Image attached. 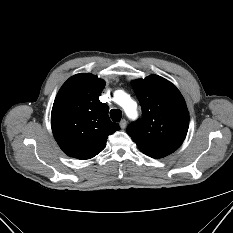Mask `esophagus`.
<instances>
[{
  "label": "esophagus",
  "instance_id": "34e87169",
  "mask_svg": "<svg viewBox=\"0 0 233 233\" xmlns=\"http://www.w3.org/2000/svg\"><path fill=\"white\" fill-rule=\"evenodd\" d=\"M121 129H125L127 125V121L125 119H122L119 123Z\"/></svg>",
  "mask_w": 233,
  "mask_h": 233
}]
</instances>
